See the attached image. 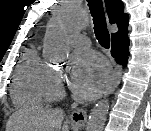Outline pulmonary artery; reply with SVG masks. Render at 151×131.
<instances>
[{
  "instance_id": "e3ab8cb5",
  "label": "pulmonary artery",
  "mask_w": 151,
  "mask_h": 131,
  "mask_svg": "<svg viewBox=\"0 0 151 131\" xmlns=\"http://www.w3.org/2000/svg\"><path fill=\"white\" fill-rule=\"evenodd\" d=\"M74 45L77 47L86 48L89 46V40L88 38L81 36L74 40Z\"/></svg>"
}]
</instances>
